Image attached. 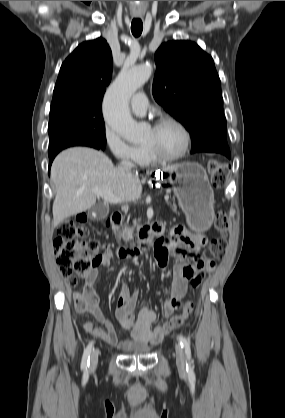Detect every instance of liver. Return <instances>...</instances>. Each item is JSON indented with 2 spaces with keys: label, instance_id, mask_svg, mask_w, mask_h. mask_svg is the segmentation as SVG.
I'll list each match as a JSON object with an SVG mask.
<instances>
[{
  "label": "liver",
  "instance_id": "liver-1",
  "mask_svg": "<svg viewBox=\"0 0 285 418\" xmlns=\"http://www.w3.org/2000/svg\"><path fill=\"white\" fill-rule=\"evenodd\" d=\"M51 180L56 190L53 227L93 207L98 196L95 189L108 190L124 201L137 200L142 193L136 175H129L121 166L115 167L104 153L87 147H73L59 153L52 163Z\"/></svg>",
  "mask_w": 285,
  "mask_h": 418
}]
</instances>
